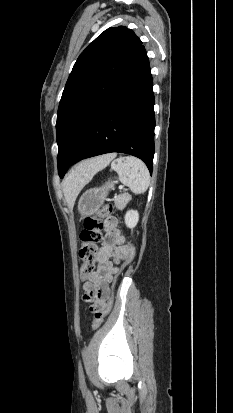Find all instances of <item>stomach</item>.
<instances>
[{"label":"stomach","instance_id":"stomach-1","mask_svg":"<svg viewBox=\"0 0 233 413\" xmlns=\"http://www.w3.org/2000/svg\"><path fill=\"white\" fill-rule=\"evenodd\" d=\"M114 183L108 181L101 187L87 190L81 196L78 202V211L82 218L92 216L101 208L109 191L114 189Z\"/></svg>","mask_w":233,"mask_h":413}]
</instances>
